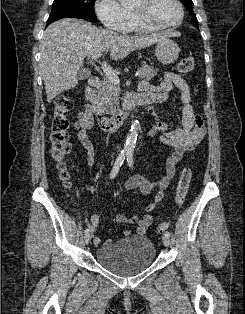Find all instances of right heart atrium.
<instances>
[{"mask_svg": "<svg viewBox=\"0 0 245 314\" xmlns=\"http://www.w3.org/2000/svg\"><path fill=\"white\" fill-rule=\"evenodd\" d=\"M95 12L101 23L108 29L123 31L128 21L127 8L117 0H96Z\"/></svg>", "mask_w": 245, "mask_h": 314, "instance_id": "right-heart-atrium-1", "label": "right heart atrium"}]
</instances>
